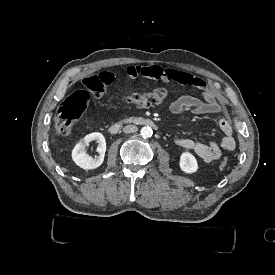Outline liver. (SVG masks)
Here are the masks:
<instances>
[{
    "label": "liver",
    "mask_w": 275,
    "mask_h": 275,
    "mask_svg": "<svg viewBox=\"0 0 275 275\" xmlns=\"http://www.w3.org/2000/svg\"><path fill=\"white\" fill-rule=\"evenodd\" d=\"M50 142H51L52 147L54 148L55 144H56V139H55V136L53 134L50 137Z\"/></svg>",
    "instance_id": "1"
}]
</instances>
